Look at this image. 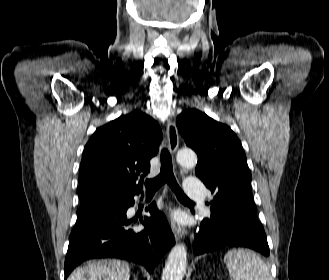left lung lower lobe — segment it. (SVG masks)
Listing matches in <instances>:
<instances>
[{
    "label": "left lung lower lobe",
    "instance_id": "left-lung-lower-lobe-1",
    "mask_svg": "<svg viewBox=\"0 0 329 280\" xmlns=\"http://www.w3.org/2000/svg\"><path fill=\"white\" fill-rule=\"evenodd\" d=\"M248 247L265 256L269 246L265 231L257 218V208L250 194L235 195L232 199L211 207L210 218L203 219L194 242L196 254L223 247Z\"/></svg>",
    "mask_w": 329,
    "mask_h": 280
}]
</instances>
